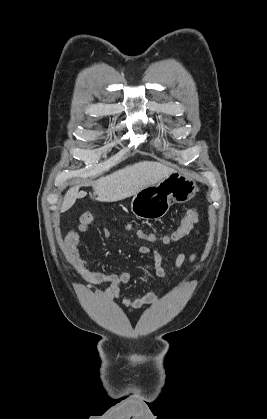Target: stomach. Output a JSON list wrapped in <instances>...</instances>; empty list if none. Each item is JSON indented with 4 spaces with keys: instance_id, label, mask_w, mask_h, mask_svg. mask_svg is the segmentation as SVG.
Wrapping results in <instances>:
<instances>
[{
    "instance_id": "0dacf381",
    "label": "stomach",
    "mask_w": 267,
    "mask_h": 419,
    "mask_svg": "<svg viewBox=\"0 0 267 419\" xmlns=\"http://www.w3.org/2000/svg\"><path fill=\"white\" fill-rule=\"evenodd\" d=\"M197 190L194 180L173 171L157 184L137 192L131 201V211L137 218L156 220L168 212L172 201L187 202L194 197Z\"/></svg>"
}]
</instances>
